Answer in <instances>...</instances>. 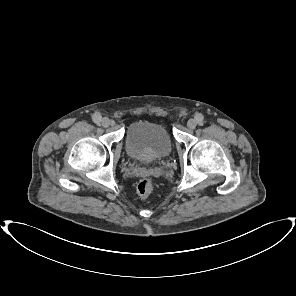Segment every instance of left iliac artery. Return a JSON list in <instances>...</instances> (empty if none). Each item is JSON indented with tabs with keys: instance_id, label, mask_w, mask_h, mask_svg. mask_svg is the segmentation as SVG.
Wrapping results in <instances>:
<instances>
[{
	"instance_id": "44dca946",
	"label": "left iliac artery",
	"mask_w": 296,
	"mask_h": 296,
	"mask_svg": "<svg viewBox=\"0 0 296 296\" xmlns=\"http://www.w3.org/2000/svg\"><path fill=\"white\" fill-rule=\"evenodd\" d=\"M203 116L202 115H198V116H196V120H197V123L199 124V125H203Z\"/></svg>"
}]
</instances>
